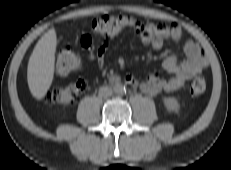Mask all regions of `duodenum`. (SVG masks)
<instances>
[{
    "mask_svg": "<svg viewBox=\"0 0 231 170\" xmlns=\"http://www.w3.org/2000/svg\"><path fill=\"white\" fill-rule=\"evenodd\" d=\"M115 81H116V82H120L119 79H116Z\"/></svg>",
    "mask_w": 231,
    "mask_h": 170,
    "instance_id": "duodenum-1",
    "label": "duodenum"
}]
</instances>
